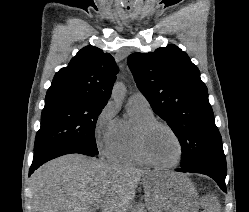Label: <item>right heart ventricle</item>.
<instances>
[{"instance_id": "1", "label": "right heart ventricle", "mask_w": 249, "mask_h": 212, "mask_svg": "<svg viewBox=\"0 0 249 212\" xmlns=\"http://www.w3.org/2000/svg\"><path fill=\"white\" fill-rule=\"evenodd\" d=\"M128 111L129 119L118 120L115 123L114 141L107 156L117 163L143 166L145 163L137 153L134 132L139 124L155 119V115L150 107H141L130 103H128Z\"/></svg>"}]
</instances>
